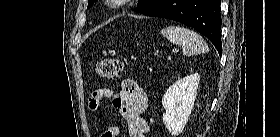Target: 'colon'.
I'll return each instance as SVG.
<instances>
[{
	"label": "colon",
	"mask_w": 280,
	"mask_h": 137,
	"mask_svg": "<svg viewBox=\"0 0 280 137\" xmlns=\"http://www.w3.org/2000/svg\"><path fill=\"white\" fill-rule=\"evenodd\" d=\"M123 70V63L120 58L112 57L101 61L95 70L96 76L101 79H112ZM117 130L105 132L103 137H115Z\"/></svg>",
	"instance_id": "5ec220e1"
}]
</instances>
